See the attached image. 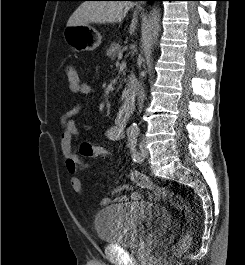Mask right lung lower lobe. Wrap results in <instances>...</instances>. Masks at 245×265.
I'll return each mask as SVG.
<instances>
[{
  "label": "right lung lower lobe",
  "instance_id": "98d812e1",
  "mask_svg": "<svg viewBox=\"0 0 245 265\" xmlns=\"http://www.w3.org/2000/svg\"><path fill=\"white\" fill-rule=\"evenodd\" d=\"M128 1H148L149 3H151L152 1H159V0H128Z\"/></svg>",
  "mask_w": 245,
  "mask_h": 265
}]
</instances>
